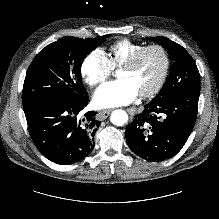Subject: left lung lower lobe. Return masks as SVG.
I'll list each match as a JSON object with an SVG mask.
<instances>
[{
	"instance_id": "obj_1",
	"label": "left lung lower lobe",
	"mask_w": 219,
	"mask_h": 219,
	"mask_svg": "<svg viewBox=\"0 0 219 219\" xmlns=\"http://www.w3.org/2000/svg\"><path fill=\"white\" fill-rule=\"evenodd\" d=\"M200 90H185L162 101L152 100L127 125L130 149L148 161L175 156L195 125Z\"/></svg>"
}]
</instances>
